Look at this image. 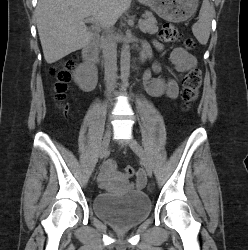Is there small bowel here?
<instances>
[{
	"label": "small bowel",
	"instance_id": "obj_1",
	"mask_svg": "<svg viewBox=\"0 0 248 250\" xmlns=\"http://www.w3.org/2000/svg\"><path fill=\"white\" fill-rule=\"evenodd\" d=\"M155 46L158 50H162L163 46L159 42H155ZM146 55V54H145ZM170 59L175 68L179 72H187L192 68L197 66L196 59L190 55L186 50L182 48H176L172 50L170 54ZM159 68H155V72H158ZM148 87L152 92L159 91V81L157 78L148 79ZM179 85L178 81L174 78H170L165 84V95L168 98H175L178 94ZM112 172V165L106 164L102 169V179H106L108 175Z\"/></svg>",
	"mask_w": 248,
	"mask_h": 250
}]
</instances>
